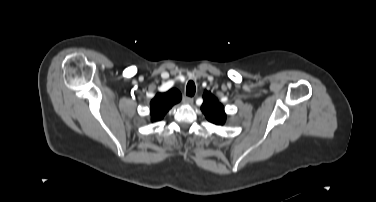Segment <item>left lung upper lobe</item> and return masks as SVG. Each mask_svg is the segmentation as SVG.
I'll return each mask as SVG.
<instances>
[{"label": "left lung upper lobe", "mask_w": 376, "mask_h": 202, "mask_svg": "<svg viewBox=\"0 0 376 202\" xmlns=\"http://www.w3.org/2000/svg\"><path fill=\"white\" fill-rule=\"evenodd\" d=\"M204 102L201 110L205 117L211 123L223 125L226 121L224 107L212 93L205 91L203 94Z\"/></svg>", "instance_id": "obj_1"}]
</instances>
